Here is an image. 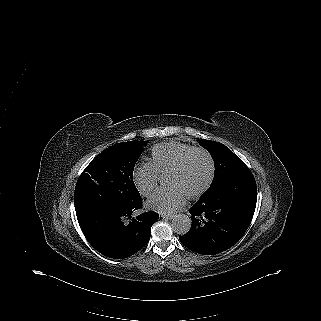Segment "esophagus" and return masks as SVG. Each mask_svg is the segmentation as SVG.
<instances>
[{"instance_id": "34e87169", "label": "esophagus", "mask_w": 321, "mask_h": 321, "mask_svg": "<svg viewBox=\"0 0 321 321\" xmlns=\"http://www.w3.org/2000/svg\"><path fill=\"white\" fill-rule=\"evenodd\" d=\"M174 215L172 214H161V217L163 219H166V220H169V219H172Z\"/></svg>"}]
</instances>
